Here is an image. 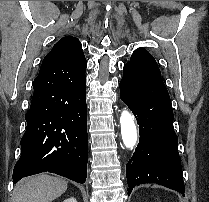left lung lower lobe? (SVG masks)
Here are the masks:
<instances>
[{
  "mask_svg": "<svg viewBox=\"0 0 209 202\" xmlns=\"http://www.w3.org/2000/svg\"><path fill=\"white\" fill-rule=\"evenodd\" d=\"M121 100L136 115L139 144L126 165L128 195L136 185L157 183L184 194L178 137L173 128L170 96L161 79L125 64Z\"/></svg>",
  "mask_w": 209,
  "mask_h": 202,
  "instance_id": "left-lung-lower-lobe-1",
  "label": "left lung lower lobe"
}]
</instances>
